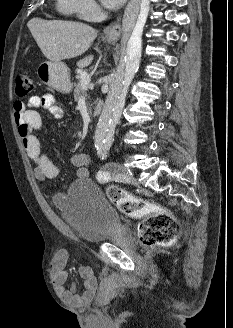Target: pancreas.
<instances>
[{"instance_id": "cf45deb5", "label": "pancreas", "mask_w": 233, "mask_h": 328, "mask_svg": "<svg viewBox=\"0 0 233 328\" xmlns=\"http://www.w3.org/2000/svg\"><path fill=\"white\" fill-rule=\"evenodd\" d=\"M82 96L86 100L89 98V96H88L87 92L85 91V89H82L81 78H80V76H78V82L75 85V89H74V99H75V101H78ZM90 111H91V109H90Z\"/></svg>"}]
</instances>
